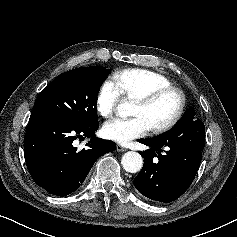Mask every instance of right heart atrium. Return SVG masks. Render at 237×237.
I'll list each match as a JSON object with an SVG mask.
<instances>
[{
    "instance_id": "1",
    "label": "right heart atrium",
    "mask_w": 237,
    "mask_h": 237,
    "mask_svg": "<svg viewBox=\"0 0 237 237\" xmlns=\"http://www.w3.org/2000/svg\"><path fill=\"white\" fill-rule=\"evenodd\" d=\"M122 93L118 85L112 79H106L100 85L96 95V109L98 114L108 119L115 112Z\"/></svg>"
}]
</instances>
